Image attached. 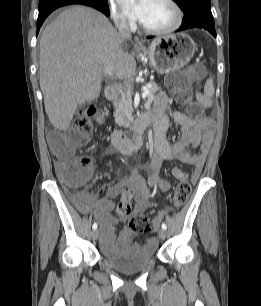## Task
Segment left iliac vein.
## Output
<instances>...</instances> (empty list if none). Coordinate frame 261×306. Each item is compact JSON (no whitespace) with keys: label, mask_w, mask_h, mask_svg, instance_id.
Instances as JSON below:
<instances>
[{"label":"left iliac vein","mask_w":261,"mask_h":306,"mask_svg":"<svg viewBox=\"0 0 261 306\" xmlns=\"http://www.w3.org/2000/svg\"><path fill=\"white\" fill-rule=\"evenodd\" d=\"M166 231L164 229H159L158 230V236L160 239L164 240L166 238Z\"/></svg>","instance_id":"1"}]
</instances>
